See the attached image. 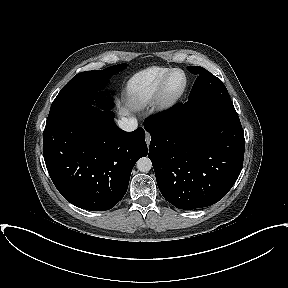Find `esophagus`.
<instances>
[{
  "mask_svg": "<svg viewBox=\"0 0 288 288\" xmlns=\"http://www.w3.org/2000/svg\"><path fill=\"white\" fill-rule=\"evenodd\" d=\"M145 141H146L147 145H149V143L151 141V136L148 132L145 133Z\"/></svg>",
  "mask_w": 288,
  "mask_h": 288,
  "instance_id": "34e87169",
  "label": "esophagus"
}]
</instances>
